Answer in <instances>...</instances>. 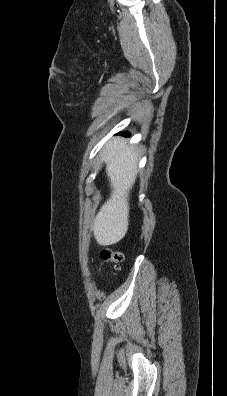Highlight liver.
<instances>
[{"mask_svg":"<svg viewBox=\"0 0 227 396\" xmlns=\"http://www.w3.org/2000/svg\"><path fill=\"white\" fill-rule=\"evenodd\" d=\"M102 160L112 188L110 198L96 215L91 230L99 245L119 242L129 225V193L136 180L138 150L124 138H113L104 147Z\"/></svg>","mask_w":227,"mask_h":396,"instance_id":"1","label":"liver"}]
</instances>
